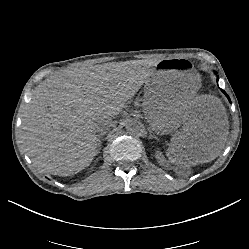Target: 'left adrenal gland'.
Segmentation results:
<instances>
[{
	"mask_svg": "<svg viewBox=\"0 0 249 249\" xmlns=\"http://www.w3.org/2000/svg\"><path fill=\"white\" fill-rule=\"evenodd\" d=\"M152 139H155V140L159 141V139H157L154 136L150 135L149 138H148V140H152Z\"/></svg>",
	"mask_w": 249,
	"mask_h": 249,
	"instance_id": "left-adrenal-gland-1",
	"label": "left adrenal gland"
}]
</instances>
